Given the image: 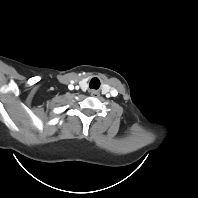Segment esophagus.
Instances as JSON below:
<instances>
[{
  "label": "esophagus",
  "mask_w": 198,
  "mask_h": 198,
  "mask_svg": "<svg viewBox=\"0 0 198 198\" xmlns=\"http://www.w3.org/2000/svg\"><path fill=\"white\" fill-rule=\"evenodd\" d=\"M90 94L92 95V96H99V92L98 91H96V90H91L90 91Z\"/></svg>",
  "instance_id": "esophagus-1"
}]
</instances>
